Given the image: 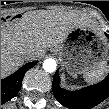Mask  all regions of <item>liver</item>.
<instances>
[{"instance_id":"1","label":"liver","mask_w":109,"mask_h":109,"mask_svg":"<svg viewBox=\"0 0 109 109\" xmlns=\"http://www.w3.org/2000/svg\"><path fill=\"white\" fill-rule=\"evenodd\" d=\"M82 25L102 32L88 15L74 10L29 11L11 26H2V77L10 75L23 64L24 51H31L33 59L39 58L49 47L61 44L71 30Z\"/></svg>"}]
</instances>
